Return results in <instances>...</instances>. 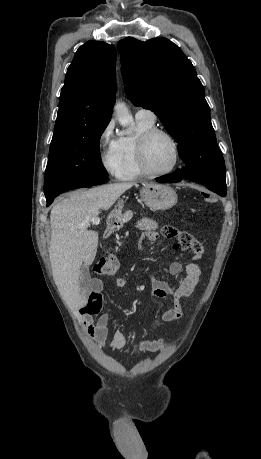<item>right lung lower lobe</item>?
<instances>
[{"label": "right lung lower lobe", "mask_w": 261, "mask_h": 459, "mask_svg": "<svg viewBox=\"0 0 261 459\" xmlns=\"http://www.w3.org/2000/svg\"><path fill=\"white\" fill-rule=\"evenodd\" d=\"M106 182V179H103V180H98V181H93V182H86V183H82V184H78V185H74L68 189H65L63 192L67 191V190H71V189H76V188H81V187H90V186H94V185H98V184H103ZM61 192V193H63ZM59 193V194H61ZM59 194H56L54 196H49L46 198L47 200V206L51 205V203L53 202L54 198L57 197Z\"/></svg>", "instance_id": "right-lung-lower-lobe-1"}]
</instances>
